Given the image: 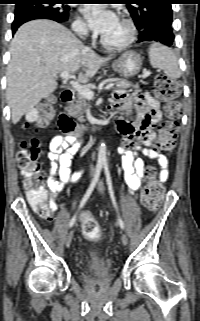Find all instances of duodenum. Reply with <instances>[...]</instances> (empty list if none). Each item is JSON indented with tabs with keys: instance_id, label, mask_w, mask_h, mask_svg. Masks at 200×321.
I'll use <instances>...</instances> for the list:
<instances>
[{
	"instance_id": "obj_1",
	"label": "duodenum",
	"mask_w": 200,
	"mask_h": 321,
	"mask_svg": "<svg viewBox=\"0 0 200 321\" xmlns=\"http://www.w3.org/2000/svg\"><path fill=\"white\" fill-rule=\"evenodd\" d=\"M61 100L65 104H70L74 100V92L70 89H66L61 93ZM114 116L107 114L97 121L86 124V125H77L66 113H62L59 116V126L60 128L70 134L83 135L85 133H93L99 131L105 126H108L114 121Z\"/></svg>"
}]
</instances>
